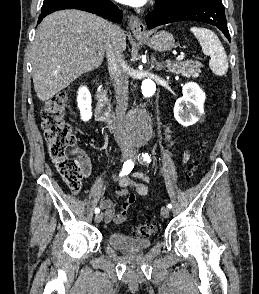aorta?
<instances>
[{"label":"aorta","instance_id":"1","mask_svg":"<svg viewBox=\"0 0 259 294\" xmlns=\"http://www.w3.org/2000/svg\"><path fill=\"white\" fill-rule=\"evenodd\" d=\"M141 91L144 97H151L156 91V85L151 79L142 82ZM126 134L135 142H146L152 137V121L149 114L143 110H132L124 120Z\"/></svg>","mask_w":259,"mask_h":294}]
</instances>
